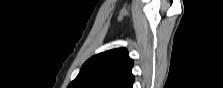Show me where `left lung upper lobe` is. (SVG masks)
Here are the masks:
<instances>
[{"label": "left lung upper lobe", "instance_id": "obj_1", "mask_svg": "<svg viewBox=\"0 0 223 88\" xmlns=\"http://www.w3.org/2000/svg\"><path fill=\"white\" fill-rule=\"evenodd\" d=\"M132 67L126 49L109 50L86 61L68 88H132Z\"/></svg>", "mask_w": 223, "mask_h": 88}]
</instances>
